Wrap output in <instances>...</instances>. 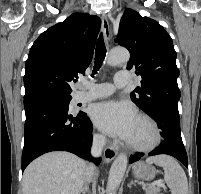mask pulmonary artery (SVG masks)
<instances>
[{
  "label": "pulmonary artery",
  "mask_w": 201,
  "mask_h": 194,
  "mask_svg": "<svg viewBox=\"0 0 201 194\" xmlns=\"http://www.w3.org/2000/svg\"><path fill=\"white\" fill-rule=\"evenodd\" d=\"M129 83V75L125 71L116 73L114 83H99L88 85L87 91L81 90L77 92L75 99L77 102H88L99 98L110 96L116 88L124 87ZM81 87H85V83H81Z\"/></svg>",
  "instance_id": "obj_1"
}]
</instances>
